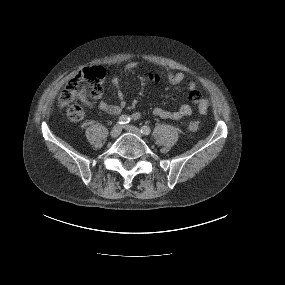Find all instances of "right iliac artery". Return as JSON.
Instances as JSON below:
<instances>
[{
  "label": "right iliac artery",
  "mask_w": 285,
  "mask_h": 285,
  "mask_svg": "<svg viewBox=\"0 0 285 285\" xmlns=\"http://www.w3.org/2000/svg\"><path fill=\"white\" fill-rule=\"evenodd\" d=\"M129 122H130V117L127 116V115H122L118 119V123L121 124V125L127 124Z\"/></svg>",
  "instance_id": "1"
}]
</instances>
